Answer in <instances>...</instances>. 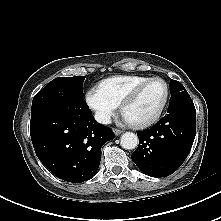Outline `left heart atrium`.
I'll list each match as a JSON object with an SVG mask.
<instances>
[{
	"instance_id": "39dd6f15",
	"label": "left heart atrium",
	"mask_w": 221,
	"mask_h": 221,
	"mask_svg": "<svg viewBox=\"0 0 221 221\" xmlns=\"http://www.w3.org/2000/svg\"><path fill=\"white\" fill-rule=\"evenodd\" d=\"M123 120L127 123H133L132 118L126 113L123 115Z\"/></svg>"
}]
</instances>
